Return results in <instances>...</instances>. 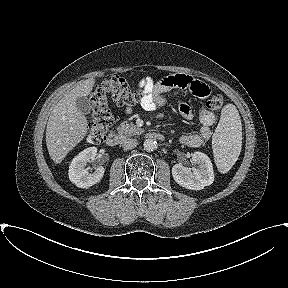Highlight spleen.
Instances as JSON below:
<instances>
[{"mask_svg": "<svg viewBox=\"0 0 288 288\" xmlns=\"http://www.w3.org/2000/svg\"><path fill=\"white\" fill-rule=\"evenodd\" d=\"M242 123L235 105L227 104L221 111L220 121L213 134L214 160L221 173H227L241 152Z\"/></svg>", "mask_w": 288, "mask_h": 288, "instance_id": "1", "label": "spleen"}]
</instances>
